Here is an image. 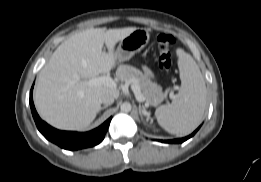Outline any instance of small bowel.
<instances>
[{
    "label": "small bowel",
    "mask_w": 261,
    "mask_h": 182,
    "mask_svg": "<svg viewBox=\"0 0 261 182\" xmlns=\"http://www.w3.org/2000/svg\"><path fill=\"white\" fill-rule=\"evenodd\" d=\"M144 71L148 76H152L150 70L147 67H144Z\"/></svg>",
    "instance_id": "small-bowel-1"
}]
</instances>
